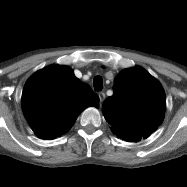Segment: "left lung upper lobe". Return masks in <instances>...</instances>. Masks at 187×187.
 Here are the masks:
<instances>
[{
    "label": "left lung upper lobe",
    "mask_w": 187,
    "mask_h": 187,
    "mask_svg": "<svg viewBox=\"0 0 187 187\" xmlns=\"http://www.w3.org/2000/svg\"><path fill=\"white\" fill-rule=\"evenodd\" d=\"M165 102L161 84L138 66L118 74L113 95L104 101L102 113L114 134L128 142H138L163 122Z\"/></svg>",
    "instance_id": "1"
}]
</instances>
